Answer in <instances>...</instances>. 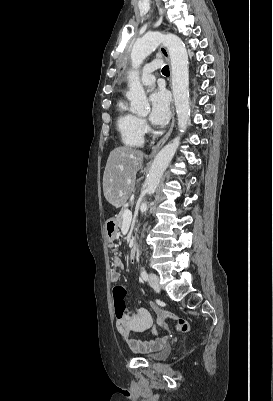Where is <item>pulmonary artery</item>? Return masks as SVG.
I'll list each match as a JSON object with an SVG mask.
<instances>
[{
  "mask_svg": "<svg viewBox=\"0 0 273 401\" xmlns=\"http://www.w3.org/2000/svg\"><path fill=\"white\" fill-rule=\"evenodd\" d=\"M153 63H162V60H153ZM152 69L153 66L150 63L145 64L144 66V81L146 83H154L156 80V77L154 74H152ZM142 86H145V83H142Z\"/></svg>",
  "mask_w": 273,
  "mask_h": 401,
  "instance_id": "obj_1",
  "label": "pulmonary artery"
}]
</instances>
